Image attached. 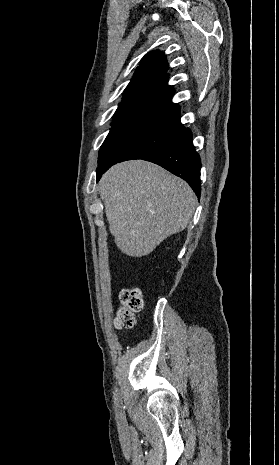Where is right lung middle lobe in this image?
Here are the masks:
<instances>
[{"instance_id": "right-lung-middle-lobe-1", "label": "right lung middle lobe", "mask_w": 279, "mask_h": 465, "mask_svg": "<svg viewBox=\"0 0 279 465\" xmlns=\"http://www.w3.org/2000/svg\"><path fill=\"white\" fill-rule=\"evenodd\" d=\"M181 125L128 123L113 126L99 151L98 168L148 155L172 144Z\"/></svg>"}]
</instances>
